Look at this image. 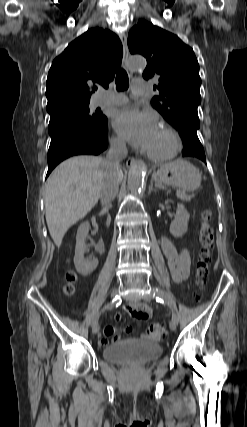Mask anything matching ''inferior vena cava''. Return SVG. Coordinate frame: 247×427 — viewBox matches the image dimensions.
Here are the masks:
<instances>
[{
	"mask_svg": "<svg viewBox=\"0 0 247 427\" xmlns=\"http://www.w3.org/2000/svg\"><path fill=\"white\" fill-rule=\"evenodd\" d=\"M126 156V143L119 139L111 140L105 158L106 172L100 192L102 206H110L118 193L121 174L120 163Z\"/></svg>",
	"mask_w": 247,
	"mask_h": 427,
	"instance_id": "1",
	"label": "inferior vena cava"
}]
</instances>
